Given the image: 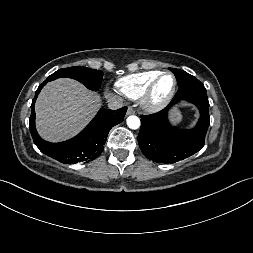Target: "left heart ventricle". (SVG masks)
Segmentation results:
<instances>
[{"mask_svg": "<svg viewBox=\"0 0 253 253\" xmlns=\"http://www.w3.org/2000/svg\"><path fill=\"white\" fill-rule=\"evenodd\" d=\"M172 86H173L172 77L170 76L162 77L154 90L153 98L156 101L163 99L170 92Z\"/></svg>", "mask_w": 253, "mask_h": 253, "instance_id": "obj_1", "label": "left heart ventricle"}]
</instances>
